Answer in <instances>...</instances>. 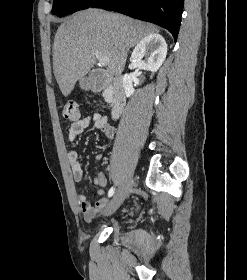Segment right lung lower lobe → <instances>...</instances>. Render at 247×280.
Returning a JSON list of instances; mask_svg holds the SVG:
<instances>
[{
    "instance_id": "right-lung-lower-lobe-1",
    "label": "right lung lower lobe",
    "mask_w": 247,
    "mask_h": 280,
    "mask_svg": "<svg viewBox=\"0 0 247 280\" xmlns=\"http://www.w3.org/2000/svg\"><path fill=\"white\" fill-rule=\"evenodd\" d=\"M184 0H99L91 7L105 8L157 23L178 37Z\"/></svg>"
}]
</instances>
